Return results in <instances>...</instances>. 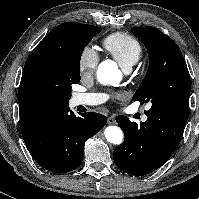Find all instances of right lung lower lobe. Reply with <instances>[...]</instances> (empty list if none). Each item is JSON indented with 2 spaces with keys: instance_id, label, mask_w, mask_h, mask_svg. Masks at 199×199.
<instances>
[{
  "instance_id": "98d812e1",
  "label": "right lung lower lobe",
  "mask_w": 199,
  "mask_h": 199,
  "mask_svg": "<svg viewBox=\"0 0 199 199\" xmlns=\"http://www.w3.org/2000/svg\"><path fill=\"white\" fill-rule=\"evenodd\" d=\"M106 122V116L95 112L77 117L68 107L25 144L34 160L46 170L70 172L81 164L86 140L99 132Z\"/></svg>"
}]
</instances>
